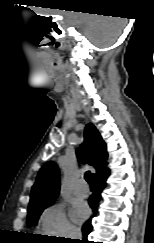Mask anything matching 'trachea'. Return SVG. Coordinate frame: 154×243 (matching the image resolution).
Returning a JSON list of instances; mask_svg holds the SVG:
<instances>
[{
  "instance_id": "trachea-1",
  "label": "trachea",
  "mask_w": 154,
  "mask_h": 243,
  "mask_svg": "<svg viewBox=\"0 0 154 243\" xmlns=\"http://www.w3.org/2000/svg\"><path fill=\"white\" fill-rule=\"evenodd\" d=\"M85 179H86V181L89 183L90 186L93 185V180H92V176H91L90 171H87V172L85 173Z\"/></svg>"
}]
</instances>
